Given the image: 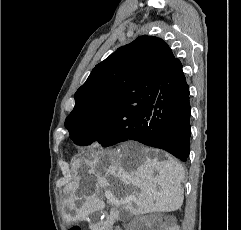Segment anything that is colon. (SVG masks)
<instances>
[{
	"instance_id": "5ec220e1",
	"label": "colon",
	"mask_w": 241,
	"mask_h": 230,
	"mask_svg": "<svg viewBox=\"0 0 241 230\" xmlns=\"http://www.w3.org/2000/svg\"><path fill=\"white\" fill-rule=\"evenodd\" d=\"M70 230H80V228H78V227H72V228H70Z\"/></svg>"
}]
</instances>
